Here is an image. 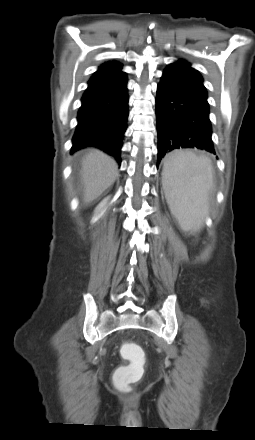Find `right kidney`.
<instances>
[{"instance_id": "ca27d5eb", "label": "right kidney", "mask_w": 255, "mask_h": 440, "mask_svg": "<svg viewBox=\"0 0 255 440\" xmlns=\"http://www.w3.org/2000/svg\"><path fill=\"white\" fill-rule=\"evenodd\" d=\"M107 202H108V197L103 199V201H101V203L96 207L94 217L92 218L91 221L92 223H94L100 217V215L104 213V209L106 207Z\"/></svg>"}]
</instances>
